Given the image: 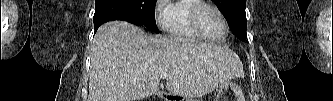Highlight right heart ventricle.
Returning a JSON list of instances; mask_svg holds the SVG:
<instances>
[{
	"mask_svg": "<svg viewBox=\"0 0 333 101\" xmlns=\"http://www.w3.org/2000/svg\"><path fill=\"white\" fill-rule=\"evenodd\" d=\"M197 3L199 1L178 0L169 6L166 29L172 36L194 41L204 40L196 33L190 23V10Z\"/></svg>",
	"mask_w": 333,
	"mask_h": 101,
	"instance_id": "obj_1",
	"label": "right heart ventricle"
}]
</instances>
